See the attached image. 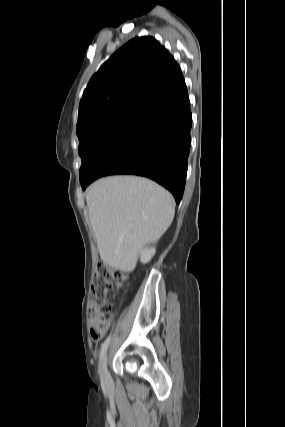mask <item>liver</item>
Here are the masks:
<instances>
[{"mask_svg": "<svg viewBox=\"0 0 285 427\" xmlns=\"http://www.w3.org/2000/svg\"><path fill=\"white\" fill-rule=\"evenodd\" d=\"M90 223L102 261L131 270L143 247L171 225L172 195L155 182L136 176H110L86 194Z\"/></svg>", "mask_w": 285, "mask_h": 427, "instance_id": "1", "label": "liver"}]
</instances>
